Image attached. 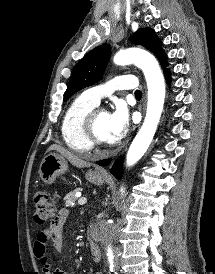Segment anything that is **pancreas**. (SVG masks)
Masks as SVG:
<instances>
[{"mask_svg": "<svg viewBox=\"0 0 215 274\" xmlns=\"http://www.w3.org/2000/svg\"><path fill=\"white\" fill-rule=\"evenodd\" d=\"M82 189L81 188H76L75 190L71 191L70 193H68L65 198H64V201H65V205L67 207H72L73 206V203L76 201V196L75 194L78 192V191H81Z\"/></svg>", "mask_w": 215, "mask_h": 274, "instance_id": "obj_1", "label": "pancreas"}]
</instances>
